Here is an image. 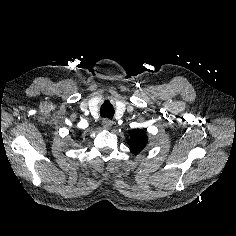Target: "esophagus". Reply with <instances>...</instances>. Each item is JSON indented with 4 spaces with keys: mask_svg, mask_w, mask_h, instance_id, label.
Returning a JSON list of instances; mask_svg holds the SVG:
<instances>
[{
    "mask_svg": "<svg viewBox=\"0 0 236 236\" xmlns=\"http://www.w3.org/2000/svg\"><path fill=\"white\" fill-rule=\"evenodd\" d=\"M112 124H113L112 121L109 119H103V121H102V125H103L104 129H106V130H109L112 127Z\"/></svg>",
    "mask_w": 236,
    "mask_h": 236,
    "instance_id": "1",
    "label": "esophagus"
}]
</instances>
